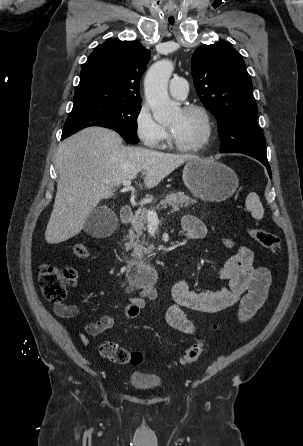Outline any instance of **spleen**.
<instances>
[{"mask_svg": "<svg viewBox=\"0 0 303 446\" xmlns=\"http://www.w3.org/2000/svg\"><path fill=\"white\" fill-rule=\"evenodd\" d=\"M245 206L248 211L251 212L253 218L261 220L264 216V208L259 199V196L255 192L249 193L246 198Z\"/></svg>", "mask_w": 303, "mask_h": 446, "instance_id": "obj_1", "label": "spleen"}]
</instances>
